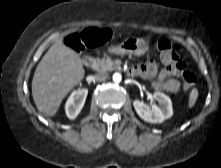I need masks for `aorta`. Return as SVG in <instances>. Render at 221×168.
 <instances>
[{"label": "aorta", "instance_id": "aorta-1", "mask_svg": "<svg viewBox=\"0 0 221 168\" xmlns=\"http://www.w3.org/2000/svg\"><path fill=\"white\" fill-rule=\"evenodd\" d=\"M121 80H122V76H121L120 73H114V74H113V81H114L115 83H120Z\"/></svg>", "mask_w": 221, "mask_h": 168}]
</instances>
